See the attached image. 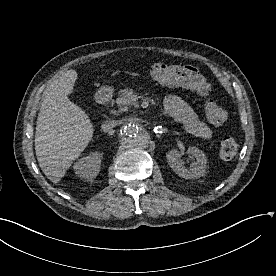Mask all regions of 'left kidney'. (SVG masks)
I'll use <instances>...</instances> for the list:
<instances>
[{"instance_id":"5707ae66","label":"left kidney","mask_w":276,"mask_h":276,"mask_svg":"<svg viewBox=\"0 0 276 276\" xmlns=\"http://www.w3.org/2000/svg\"><path fill=\"white\" fill-rule=\"evenodd\" d=\"M188 152L196 158V161L192 162L189 169L180 161L181 154L177 149H171L166 155L169 166L178 176L184 179H197L204 176L207 169L206 155L197 147H189Z\"/></svg>"}]
</instances>
